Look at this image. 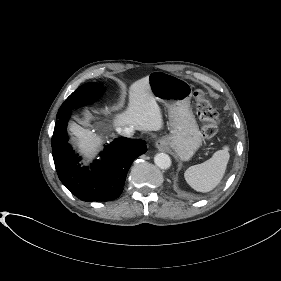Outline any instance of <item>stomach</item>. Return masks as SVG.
<instances>
[{"mask_svg": "<svg viewBox=\"0 0 281 281\" xmlns=\"http://www.w3.org/2000/svg\"><path fill=\"white\" fill-rule=\"evenodd\" d=\"M148 79L156 101L163 103L169 111L171 131L160 141L181 160H189L202 144L201 132L190 108V85L162 71L152 72Z\"/></svg>", "mask_w": 281, "mask_h": 281, "instance_id": "stomach-1", "label": "stomach"}]
</instances>
